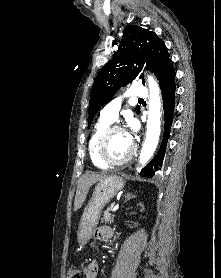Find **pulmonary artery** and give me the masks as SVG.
I'll return each mask as SVG.
<instances>
[{
    "label": "pulmonary artery",
    "instance_id": "pulmonary-artery-1",
    "mask_svg": "<svg viewBox=\"0 0 221 278\" xmlns=\"http://www.w3.org/2000/svg\"><path fill=\"white\" fill-rule=\"evenodd\" d=\"M128 96L131 98L143 99L147 97V89L143 86L133 85L128 91ZM122 100L117 97L110 101L100 112L101 118L109 122H114L118 118V113L121 108Z\"/></svg>",
    "mask_w": 221,
    "mask_h": 278
}]
</instances>
